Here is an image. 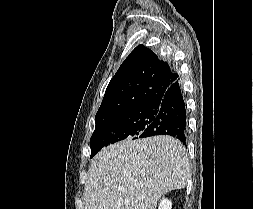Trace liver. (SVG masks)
<instances>
[{"label":"liver","instance_id":"6515ba94","mask_svg":"<svg viewBox=\"0 0 253 209\" xmlns=\"http://www.w3.org/2000/svg\"><path fill=\"white\" fill-rule=\"evenodd\" d=\"M189 175L179 140L167 135L126 139L92 159L85 209H156L163 194L186 186Z\"/></svg>","mask_w":253,"mask_h":209}]
</instances>
